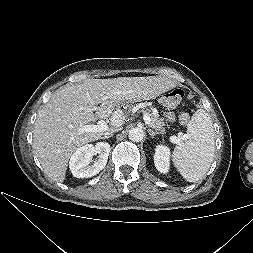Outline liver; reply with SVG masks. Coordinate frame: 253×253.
<instances>
[{"mask_svg":"<svg viewBox=\"0 0 253 253\" xmlns=\"http://www.w3.org/2000/svg\"><path fill=\"white\" fill-rule=\"evenodd\" d=\"M176 85L165 77L147 76L88 79L57 89L38 112L33 130L35 155L44 173L53 181L64 182L68 161L79 147L123 124L124 117L116 108L124 102L155 99ZM114 114L119 118L113 119ZM109 117L112 127L106 131H78L89 122Z\"/></svg>","mask_w":253,"mask_h":253,"instance_id":"1","label":"liver"}]
</instances>
